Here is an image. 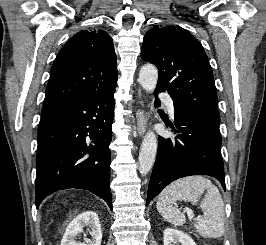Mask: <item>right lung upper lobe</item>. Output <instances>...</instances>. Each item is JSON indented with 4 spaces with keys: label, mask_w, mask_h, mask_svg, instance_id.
<instances>
[{
    "label": "right lung upper lobe",
    "mask_w": 266,
    "mask_h": 245,
    "mask_svg": "<svg viewBox=\"0 0 266 245\" xmlns=\"http://www.w3.org/2000/svg\"><path fill=\"white\" fill-rule=\"evenodd\" d=\"M117 78L112 38L102 30L76 33L52 65L42 116L70 101L114 90Z\"/></svg>",
    "instance_id": "cb5924a9"
}]
</instances>
